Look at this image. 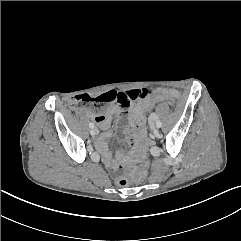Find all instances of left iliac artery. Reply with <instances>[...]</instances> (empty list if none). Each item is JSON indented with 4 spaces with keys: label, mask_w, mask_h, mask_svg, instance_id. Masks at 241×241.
Masks as SVG:
<instances>
[{
    "label": "left iliac artery",
    "mask_w": 241,
    "mask_h": 241,
    "mask_svg": "<svg viewBox=\"0 0 241 241\" xmlns=\"http://www.w3.org/2000/svg\"><path fill=\"white\" fill-rule=\"evenodd\" d=\"M156 126H157L158 128H160V127L162 126V123H161L160 121H157V122H156Z\"/></svg>",
    "instance_id": "left-iliac-artery-1"
}]
</instances>
